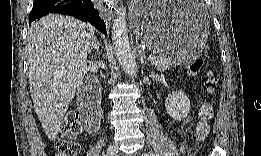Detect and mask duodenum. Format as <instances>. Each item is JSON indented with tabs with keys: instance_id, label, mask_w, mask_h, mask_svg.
I'll return each instance as SVG.
<instances>
[{
	"instance_id": "410a0bca",
	"label": "duodenum",
	"mask_w": 261,
	"mask_h": 156,
	"mask_svg": "<svg viewBox=\"0 0 261 156\" xmlns=\"http://www.w3.org/2000/svg\"><path fill=\"white\" fill-rule=\"evenodd\" d=\"M80 115L85 121L97 125L101 111V92L98 82L94 79L88 80L80 90L78 96Z\"/></svg>"
}]
</instances>
